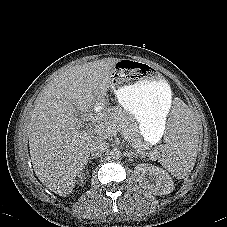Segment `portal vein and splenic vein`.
Returning a JSON list of instances; mask_svg holds the SVG:
<instances>
[{
    "instance_id": "portal-vein-and-splenic-vein-1",
    "label": "portal vein and splenic vein",
    "mask_w": 227,
    "mask_h": 227,
    "mask_svg": "<svg viewBox=\"0 0 227 227\" xmlns=\"http://www.w3.org/2000/svg\"><path fill=\"white\" fill-rule=\"evenodd\" d=\"M94 132L100 136H106V137L116 134V132H112V131H110L109 128H105V127L101 126L100 124L94 126ZM139 150L140 149H138L137 151L139 152Z\"/></svg>"
}]
</instances>
